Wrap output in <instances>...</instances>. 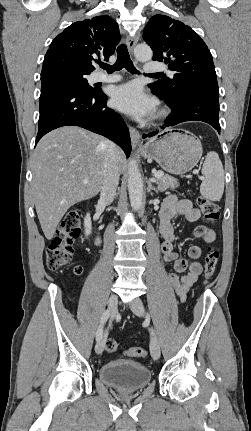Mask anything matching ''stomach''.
I'll list each match as a JSON object with an SVG mask.
<instances>
[{
  "mask_svg": "<svg viewBox=\"0 0 251 431\" xmlns=\"http://www.w3.org/2000/svg\"><path fill=\"white\" fill-rule=\"evenodd\" d=\"M202 152L200 140L183 129H167L150 139L141 149L143 157L155 160L163 170L174 175L192 170Z\"/></svg>",
  "mask_w": 251,
  "mask_h": 431,
  "instance_id": "stomach-1",
  "label": "stomach"
}]
</instances>
